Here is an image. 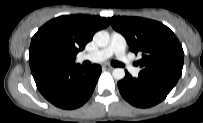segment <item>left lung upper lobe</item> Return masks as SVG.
Instances as JSON below:
<instances>
[{
    "label": "left lung upper lobe",
    "mask_w": 203,
    "mask_h": 123,
    "mask_svg": "<svg viewBox=\"0 0 203 123\" xmlns=\"http://www.w3.org/2000/svg\"><path fill=\"white\" fill-rule=\"evenodd\" d=\"M112 27L121 33L132 52H142L137 62L142 72L167 74L180 78L184 52L175 34L160 22L140 17L109 18Z\"/></svg>",
    "instance_id": "obj_1"
}]
</instances>
